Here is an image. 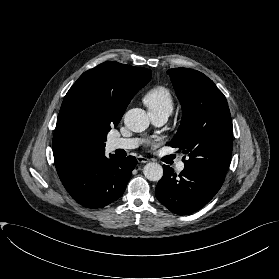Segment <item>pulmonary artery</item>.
I'll use <instances>...</instances> for the list:
<instances>
[{
  "mask_svg": "<svg viewBox=\"0 0 279 279\" xmlns=\"http://www.w3.org/2000/svg\"><path fill=\"white\" fill-rule=\"evenodd\" d=\"M168 116H169L168 112L150 113V117L156 125H163L167 121ZM137 145H138V140L133 138H113L109 142V146L112 150H116V149L130 150L135 148ZM184 168H185V163L183 161L177 163L176 170L178 172L183 171Z\"/></svg>",
  "mask_w": 279,
  "mask_h": 279,
  "instance_id": "1",
  "label": "pulmonary artery"
}]
</instances>
